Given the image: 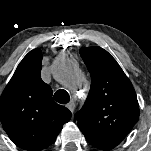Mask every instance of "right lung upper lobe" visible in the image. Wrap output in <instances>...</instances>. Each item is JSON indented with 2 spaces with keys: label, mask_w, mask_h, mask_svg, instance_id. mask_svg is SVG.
Here are the masks:
<instances>
[{
  "label": "right lung upper lobe",
  "mask_w": 151,
  "mask_h": 151,
  "mask_svg": "<svg viewBox=\"0 0 151 151\" xmlns=\"http://www.w3.org/2000/svg\"><path fill=\"white\" fill-rule=\"evenodd\" d=\"M42 53L30 51L18 65L0 97V119L5 132L20 148L40 151L51 145L71 112L58 105L41 79Z\"/></svg>",
  "instance_id": "right-lung-upper-lobe-1"
}]
</instances>
